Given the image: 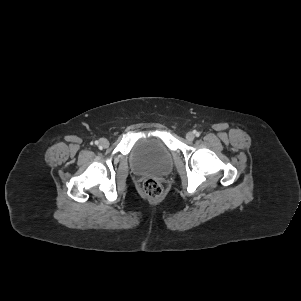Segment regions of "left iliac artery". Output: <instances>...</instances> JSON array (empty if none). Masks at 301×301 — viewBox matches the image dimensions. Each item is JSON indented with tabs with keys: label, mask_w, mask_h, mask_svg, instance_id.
<instances>
[{
	"label": "left iliac artery",
	"mask_w": 301,
	"mask_h": 301,
	"mask_svg": "<svg viewBox=\"0 0 301 301\" xmlns=\"http://www.w3.org/2000/svg\"><path fill=\"white\" fill-rule=\"evenodd\" d=\"M194 133H195L196 136H199V135H200L199 132H197V131H195Z\"/></svg>",
	"instance_id": "left-iliac-artery-1"
}]
</instances>
